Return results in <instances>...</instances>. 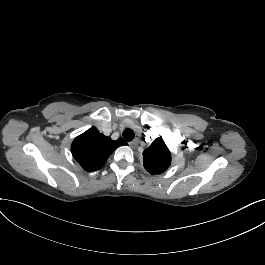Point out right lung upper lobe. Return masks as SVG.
Segmentation results:
<instances>
[{
	"mask_svg": "<svg viewBox=\"0 0 265 265\" xmlns=\"http://www.w3.org/2000/svg\"><path fill=\"white\" fill-rule=\"evenodd\" d=\"M126 142L119 138L113 141L110 137L101 134L96 127H91L76 137L72 143L73 157L86 171H95L101 168L110 154Z\"/></svg>",
	"mask_w": 265,
	"mask_h": 265,
	"instance_id": "1",
	"label": "right lung upper lobe"
}]
</instances>
